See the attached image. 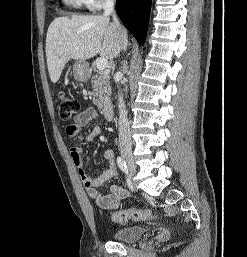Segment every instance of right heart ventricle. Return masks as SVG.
<instances>
[{"mask_svg": "<svg viewBox=\"0 0 247 257\" xmlns=\"http://www.w3.org/2000/svg\"><path fill=\"white\" fill-rule=\"evenodd\" d=\"M64 3L72 8H80L83 4L81 0H63Z\"/></svg>", "mask_w": 247, "mask_h": 257, "instance_id": "right-heart-ventricle-1", "label": "right heart ventricle"}]
</instances>
